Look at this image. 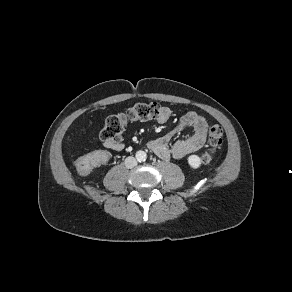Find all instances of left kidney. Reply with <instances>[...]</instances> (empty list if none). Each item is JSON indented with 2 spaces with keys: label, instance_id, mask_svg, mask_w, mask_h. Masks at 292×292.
I'll use <instances>...</instances> for the list:
<instances>
[{
  "label": "left kidney",
  "instance_id": "1",
  "mask_svg": "<svg viewBox=\"0 0 292 292\" xmlns=\"http://www.w3.org/2000/svg\"><path fill=\"white\" fill-rule=\"evenodd\" d=\"M201 159L199 156L197 155H190L188 157V164L190 165V167L194 168V169H197L200 167L201 165Z\"/></svg>",
  "mask_w": 292,
  "mask_h": 292
}]
</instances>
